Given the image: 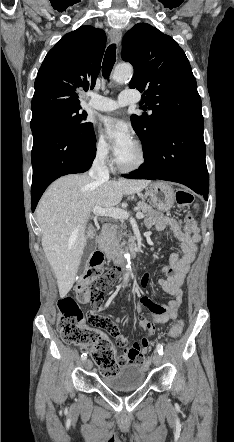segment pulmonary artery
Masks as SVG:
<instances>
[{
    "label": "pulmonary artery",
    "instance_id": "obj_1",
    "mask_svg": "<svg viewBox=\"0 0 234 442\" xmlns=\"http://www.w3.org/2000/svg\"><path fill=\"white\" fill-rule=\"evenodd\" d=\"M137 101V97L128 91L122 92L117 100L96 94H91V99L88 102V107L97 111L108 112L116 110L119 107L134 104Z\"/></svg>",
    "mask_w": 234,
    "mask_h": 442
}]
</instances>
